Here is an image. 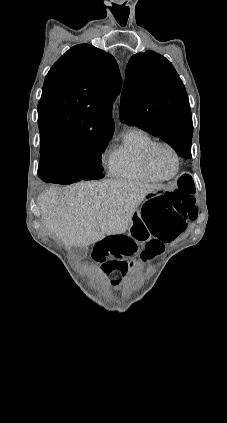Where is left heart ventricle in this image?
<instances>
[{
    "instance_id": "left-heart-ventricle-1",
    "label": "left heart ventricle",
    "mask_w": 227,
    "mask_h": 423,
    "mask_svg": "<svg viewBox=\"0 0 227 423\" xmlns=\"http://www.w3.org/2000/svg\"><path fill=\"white\" fill-rule=\"evenodd\" d=\"M154 171L160 176L167 177L174 173L176 163L170 150L164 147H157L150 157Z\"/></svg>"
}]
</instances>
